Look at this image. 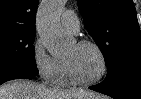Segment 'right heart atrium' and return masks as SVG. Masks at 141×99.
<instances>
[{
  "mask_svg": "<svg viewBox=\"0 0 141 99\" xmlns=\"http://www.w3.org/2000/svg\"><path fill=\"white\" fill-rule=\"evenodd\" d=\"M32 59L39 76L45 82H54L59 73L58 60L48 53L43 41L39 38L33 43Z\"/></svg>",
  "mask_w": 141,
  "mask_h": 99,
  "instance_id": "right-heart-atrium-1",
  "label": "right heart atrium"
}]
</instances>
